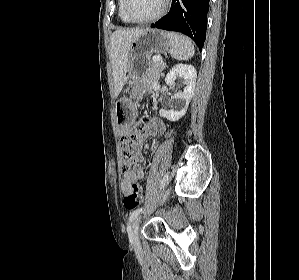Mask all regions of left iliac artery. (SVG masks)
Returning <instances> with one entry per match:
<instances>
[{"label":"left iliac artery","mask_w":299,"mask_h":280,"mask_svg":"<svg viewBox=\"0 0 299 280\" xmlns=\"http://www.w3.org/2000/svg\"><path fill=\"white\" fill-rule=\"evenodd\" d=\"M169 178V173H167L161 181V188H163ZM143 211V208H138L130 214L128 230L131 229L130 223Z\"/></svg>","instance_id":"1"}]
</instances>
